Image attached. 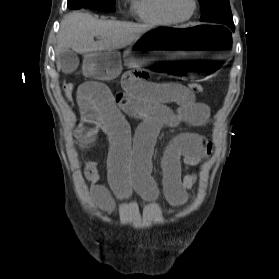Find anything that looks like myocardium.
I'll return each instance as SVG.
<instances>
[{"mask_svg": "<svg viewBox=\"0 0 279 279\" xmlns=\"http://www.w3.org/2000/svg\"><path fill=\"white\" fill-rule=\"evenodd\" d=\"M160 1H161V8H162V11L164 12V14L175 23H183V22L189 21L195 15V13L198 9V0H192L193 9H192L191 13L187 17L179 18V17H176L175 15H173L172 12L169 10L168 5H167V0H160Z\"/></svg>", "mask_w": 279, "mask_h": 279, "instance_id": "myocardium-1", "label": "myocardium"}]
</instances>
